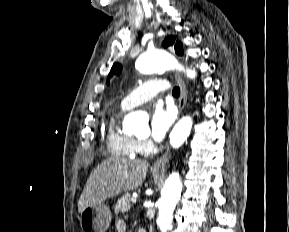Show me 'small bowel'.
<instances>
[{
  "instance_id": "c3829d8e",
  "label": "small bowel",
  "mask_w": 289,
  "mask_h": 232,
  "mask_svg": "<svg viewBox=\"0 0 289 232\" xmlns=\"http://www.w3.org/2000/svg\"><path fill=\"white\" fill-rule=\"evenodd\" d=\"M115 226L117 232H127V226L124 221L117 220Z\"/></svg>"
}]
</instances>
